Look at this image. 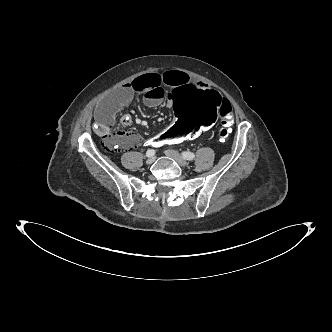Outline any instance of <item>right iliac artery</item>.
Listing matches in <instances>:
<instances>
[{
  "label": "right iliac artery",
  "mask_w": 332,
  "mask_h": 332,
  "mask_svg": "<svg viewBox=\"0 0 332 332\" xmlns=\"http://www.w3.org/2000/svg\"><path fill=\"white\" fill-rule=\"evenodd\" d=\"M155 155V150L154 149H148L146 152L147 157H151Z\"/></svg>",
  "instance_id": "82829eb1"
}]
</instances>
